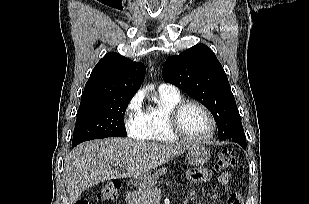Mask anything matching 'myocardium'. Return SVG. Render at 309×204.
Listing matches in <instances>:
<instances>
[{"label":"myocardium","instance_id":"myocardium-1","mask_svg":"<svg viewBox=\"0 0 309 204\" xmlns=\"http://www.w3.org/2000/svg\"><path fill=\"white\" fill-rule=\"evenodd\" d=\"M188 105H195L199 107L208 117L209 122H210V131L205 137L195 138V137L190 136L183 130L181 123H180V117H181L183 110ZM167 123H168V127L171 133L176 138L184 140L189 143H195V144L207 143L214 137L215 132H216V121H215V118L212 112L203 103H201L198 100H194V99H182L178 103H176L169 110L168 117H167Z\"/></svg>","mask_w":309,"mask_h":204}]
</instances>
